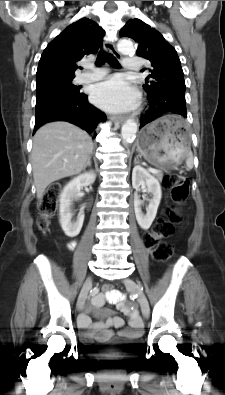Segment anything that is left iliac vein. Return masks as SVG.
<instances>
[{"instance_id": "left-iliac-vein-1", "label": "left iliac vein", "mask_w": 225, "mask_h": 395, "mask_svg": "<svg viewBox=\"0 0 225 395\" xmlns=\"http://www.w3.org/2000/svg\"><path fill=\"white\" fill-rule=\"evenodd\" d=\"M124 284L130 292H132L137 296V300L140 304L142 314L145 318H147L150 313V308H149L148 300L145 294L143 293V291L141 290V288L138 286V284L135 281L129 278L124 280Z\"/></svg>"}]
</instances>
